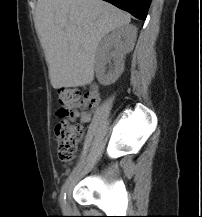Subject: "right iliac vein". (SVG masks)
<instances>
[{"instance_id":"1","label":"right iliac vein","mask_w":202,"mask_h":217,"mask_svg":"<svg viewBox=\"0 0 202 217\" xmlns=\"http://www.w3.org/2000/svg\"><path fill=\"white\" fill-rule=\"evenodd\" d=\"M62 209H63V212H67V210H68V203H67V200H65Z\"/></svg>"}]
</instances>
